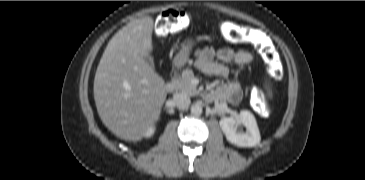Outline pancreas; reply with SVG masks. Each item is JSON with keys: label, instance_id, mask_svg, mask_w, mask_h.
Masks as SVG:
<instances>
[{"label": "pancreas", "instance_id": "obj_1", "mask_svg": "<svg viewBox=\"0 0 365 180\" xmlns=\"http://www.w3.org/2000/svg\"><path fill=\"white\" fill-rule=\"evenodd\" d=\"M194 74L193 71L190 69H186L182 72L181 77H179L176 81V90L185 93L189 96H195L199 92L197 88L192 85L191 80L193 79Z\"/></svg>", "mask_w": 365, "mask_h": 180}]
</instances>
